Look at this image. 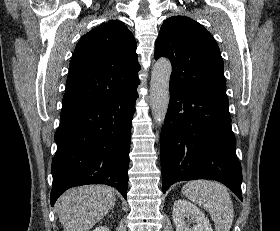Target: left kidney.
I'll use <instances>...</instances> for the list:
<instances>
[{"label":"left kidney","instance_id":"left-kidney-1","mask_svg":"<svg viewBox=\"0 0 280 231\" xmlns=\"http://www.w3.org/2000/svg\"><path fill=\"white\" fill-rule=\"evenodd\" d=\"M172 215L176 231H213L201 209L186 199H175ZM190 223H193L192 227Z\"/></svg>","mask_w":280,"mask_h":231}]
</instances>
